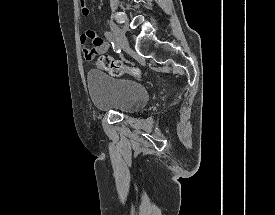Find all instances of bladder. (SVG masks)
<instances>
[{
  "label": "bladder",
  "instance_id": "bladder-1",
  "mask_svg": "<svg viewBox=\"0 0 275 215\" xmlns=\"http://www.w3.org/2000/svg\"><path fill=\"white\" fill-rule=\"evenodd\" d=\"M91 100L99 110L135 113L149 101L148 89L139 81L108 76L98 70L86 74Z\"/></svg>",
  "mask_w": 275,
  "mask_h": 215
}]
</instances>
